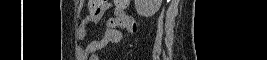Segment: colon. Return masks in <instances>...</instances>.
Masks as SVG:
<instances>
[{
    "mask_svg": "<svg viewBox=\"0 0 267 60\" xmlns=\"http://www.w3.org/2000/svg\"><path fill=\"white\" fill-rule=\"evenodd\" d=\"M128 2H129V0H117V1H115V3L118 6H124V5L128 4ZM105 3L106 2L103 0H89L88 1L89 14H91V15L99 14L103 10ZM114 26L123 28L126 26V23L122 22V21H118V22L114 23ZM133 28H134V26H133Z\"/></svg>",
    "mask_w": 267,
    "mask_h": 60,
    "instance_id": "colon-1",
    "label": "colon"
}]
</instances>
